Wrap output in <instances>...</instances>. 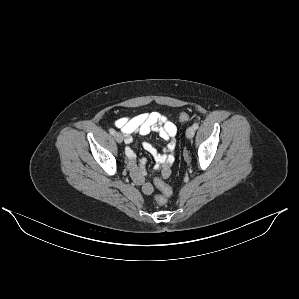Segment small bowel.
<instances>
[{
    "mask_svg": "<svg viewBox=\"0 0 299 299\" xmlns=\"http://www.w3.org/2000/svg\"><path fill=\"white\" fill-rule=\"evenodd\" d=\"M115 126L119 128L125 137V143L130 145L133 142V135H147L156 132L165 141L162 150H157L152 144L144 142L143 149L155 160V169L160 176L155 179L158 186L160 181L167 179L170 175L171 164L175 160L176 133L177 128L174 122L158 112H148L134 117H122L115 121ZM126 155L128 158V168L134 181L142 186V191L149 195L153 192V186L145 180L146 159H141L137 164L136 154L131 147H127Z\"/></svg>",
    "mask_w": 299,
    "mask_h": 299,
    "instance_id": "obj_1",
    "label": "small bowel"
}]
</instances>
